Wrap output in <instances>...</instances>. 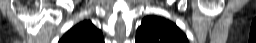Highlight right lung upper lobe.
<instances>
[{
  "label": "right lung upper lobe",
  "mask_w": 256,
  "mask_h": 43,
  "mask_svg": "<svg viewBox=\"0 0 256 43\" xmlns=\"http://www.w3.org/2000/svg\"><path fill=\"white\" fill-rule=\"evenodd\" d=\"M102 32L91 21H83L70 29L59 43H103Z\"/></svg>",
  "instance_id": "cb5924a9"
}]
</instances>
